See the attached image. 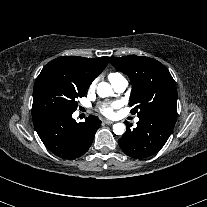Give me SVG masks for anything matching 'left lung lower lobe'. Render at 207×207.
I'll return each instance as SVG.
<instances>
[{
	"label": "left lung lower lobe",
	"mask_w": 207,
	"mask_h": 207,
	"mask_svg": "<svg viewBox=\"0 0 207 207\" xmlns=\"http://www.w3.org/2000/svg\"><path fill=\"white\" fill-rule=\"evenodd\" d=\"M176 117L148 115L139 117L137 127L126 124L125 134L118 140L122 151L133 158H146L157 153L166 143L175 126Z\"/></svg>",
	"instance_id": "left-lung-lower-lobe-1"
}]
</instances>
